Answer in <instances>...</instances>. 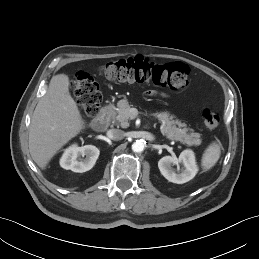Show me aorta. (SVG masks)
Returning <instances> with one entry per match:
<instances>
[{
    "label": "aorta",
    "instance_id": "1",
    "mask_svg": "<svg viewBox=\"0 0 259 259\" xmlns=\"http://www.w3.org/2000/svg\"><path fill=\"white\" fill-rule=\"evenodd\" d=\"M145 146H146L145 140L143 139L136 140V142L132 144V150L134 152H142L145 149Z\"/></svg>",
    "mask_w": 259,
    "mask_h": 259
}]
</instances>
